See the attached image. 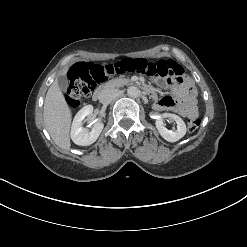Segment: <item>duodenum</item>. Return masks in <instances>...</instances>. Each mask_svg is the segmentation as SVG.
<instances>
[{
    "label": "duodenum",
    "instance_id": "duodenum-1",
    "mask_svg": "<svg viewBox=\"0 0 247 247\" xmlns=\"http://www.w3.org/2000/svg\"><path fill=\"white\" fill-rule=\"evenodd\" d=\"M110 85H103V86H100L98 87L94 92H93V95H92V99L94 101H101L104 97V94L106 93L108 87ZM141 90L147 94V95H152V91L150 90V88L146 87V86H141L140 87Z\"/></svg>",
    "mask_w": 247,
    "mask_h": 247
}]
</instances>
